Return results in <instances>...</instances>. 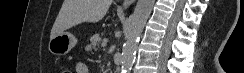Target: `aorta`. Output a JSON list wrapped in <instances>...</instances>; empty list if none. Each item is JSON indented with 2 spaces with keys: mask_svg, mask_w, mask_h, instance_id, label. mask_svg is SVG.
Segmentation results:
<instances>
[{
  "mask_svg": "<svg viewBox=\"0 0 244 73\" xmlns=\"http://www.w3.org/2000/svg\"><path fill=\"white\" fill-rule=\"evenodd\" d=\"M155 0H138L131 18V25L122 50V73L131 71L137 44L146 22L152 12Z\"/></svg>",
  "mask_w": 244,
  "mask_h": 73,
  "instance_id": "1",
  "label": "aorta"
}]
</instances>
